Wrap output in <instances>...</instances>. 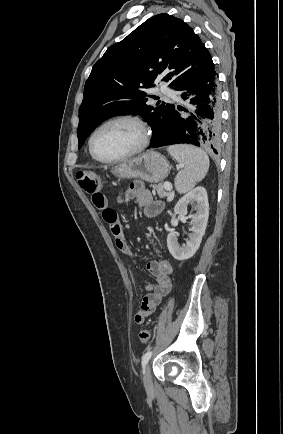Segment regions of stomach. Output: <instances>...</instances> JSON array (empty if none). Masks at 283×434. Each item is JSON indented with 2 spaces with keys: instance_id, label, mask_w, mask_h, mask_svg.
Returning <instances> with one entry per match:
<instances>
[{
  "instance_id": "1",
  "label": "stomach",
  "mask_w": 283,
  "mask_h": 434,
  "mask_svg": "<svg viewBox=\"0 0 283 434\" xmlns=\"http://www.w3.org/2000/svg\"><path fill=\"white\" fill-rule=\"evenodd\" d=\"M170 167L166 158L158 152L149 151L112 169L113 175L123 179L140 178L149 183L163 181Z\"/></svg>"
}]
</instances>
